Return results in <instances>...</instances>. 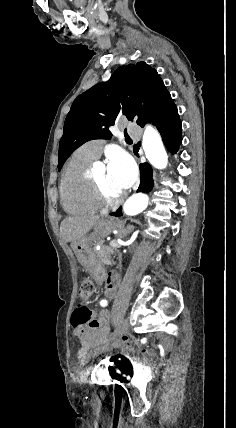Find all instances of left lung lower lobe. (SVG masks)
<instances>
[{
  "instance_id": "0a47b994",
  "label": "left lung lower lobe",
  "mask_w": 236,
  "mask_h": 428,
  "mask_svg": "<svg viewBox=\"0 0 236 428\" xmlns=\"http://www.w3.org/2000/svg\"><path fill=\"white\" fill-rule=\"evenodd\" d=\"M154 125L157 126L158 131L161 133L163 142L169 152L175 154L182 141V124L178 115L177 107L174 102H170L164 107L152 120ZM143 127V126H142ZM152 168L149 164H140L141 181L137 192H150L153 188ZM112 216H121V207L111 213Z\"/></svg>"
}]
</instances>
